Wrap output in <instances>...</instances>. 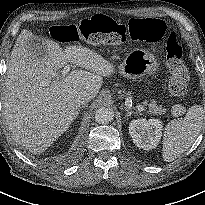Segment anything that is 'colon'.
Here are the masks:
<instances>
[{"mask_svg":"<svg viewBox=\"0 0 205 205\" xmlns=\"http://www.w3.org/2000/svg\"><path fill=\"white\" fill-rule=\"evenodd\" d=\"M49 33L61 44L86 42L97 45L121 46L126 41L156 43L165 33L161 19L136 17L130 19L128 26L118 25L104 14H94L75 24H54ZM166 62L170 71L169 89L177 97H184L189 91V74L182 59V48L175 32L166 44Z\"/></svg>","mask_w":205,"mask_h":205,"instance_id":"1","label":"colon"}]
</instances>
